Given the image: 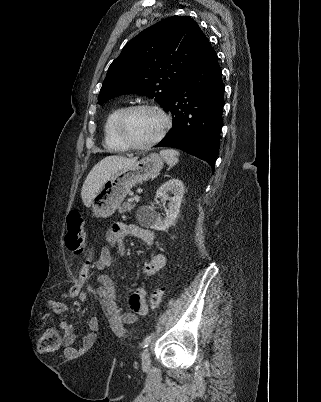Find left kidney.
<instances>
[{
  "instance_id": "5707ae66",
  "label": "left kidney",
  "mask_w": 321,
  "mask_h": 402,
  "mask_svg": "<svg viewBox=\"0 0 321 402\" xmlns=\"http://www.w3.org/2000/svg\"><path fill=\"white\" fill-rule=\"evenodd\" d=\"M168 192L173 193V197L168 196ZM184 185L178 179H170L162 184L156 191V198L169 200L166 216L162 220L151 206L141 207L138 211V220L144 225L159 231H165L173 225L176 220L184 195Z\"/></svg>"
}]
</instances>
